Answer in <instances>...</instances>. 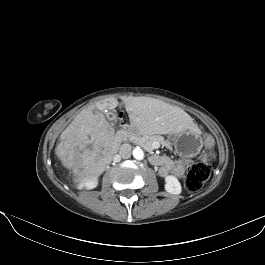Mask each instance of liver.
Wrapping results in <instances>:
<instances>
[{
	"label": "liver",
	"instance_id": "1",
	"mask_svg": "<svg viewBox=\"0 0 265 265\" xmlns=\"http://www.w3.org/2000/svg\"><path fill=\"white\" fill-rule=\"evenodd\" d=\"M122 103L134 127L153 134H175L185 130L200 133L188 113L161 100L124 96ZM118 105L114 97L91 104L61 133L55 153L62 165L72 170L76 182L97 179L118 152L121 139L104 115Z\"/></svg>",
	"mask_w": 265,
	"mask_h": 265
}]
</instances>
